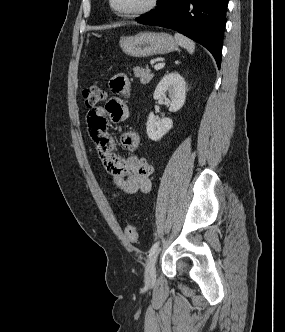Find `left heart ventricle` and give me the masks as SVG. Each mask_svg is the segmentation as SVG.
<instances>
[{
    "label": "left heart ventricle",
    "mask_w": 285,
    "mask_h": 332,
    "mask_svg": "<svg viewBox=\"0 0 285 332\" xmlns=\"http://www.w3.org/2000/svg\"><path fill=\"white\" fill-rule=\"evenodd\" d=\"M148 0H114V6L121 11H130L141 8Z\"/></svg>",
    "instance_id": "1"
}]
</instances>
